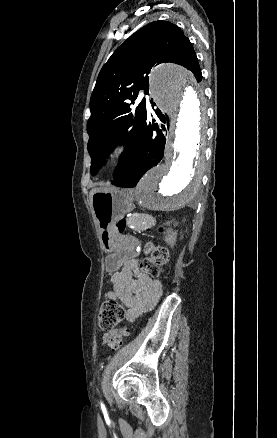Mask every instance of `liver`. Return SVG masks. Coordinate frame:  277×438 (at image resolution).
Returning <instances> with one entry per match:
<instances>
[{"label": "liver", "instance_id": "obj_1", "mask_svg": "<svg viewBox=\"0 0 277 438\" xmlns=\"http://www.w3.org/2000/svg\"><path fill=\"white\" fill-rule=\"evenodd\" d=\"M95 192H98V190H91L90 196H92V194H95Z\"/></svg>", "mask_w": 277, "mask_h": 438}]
</instances>
